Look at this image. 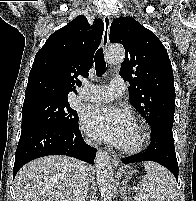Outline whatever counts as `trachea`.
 Instances as JSON below:
<instances>
[{
  "instance_id": "1",
  "label": "trachea",
  "mask_w": 196,
  "mask_h": 201,
  "mask_svg": "<svg viewBox=\"0 0 196 201\" xmlns=\"http://www.w3.org/2000/svg\"><path fill=\"white\" fill-rule=\"evenodd\" d=\"M95 70L98 77H101L106 71V62L101 48L95 54Z\"/></svg>"
}]
</instances>
